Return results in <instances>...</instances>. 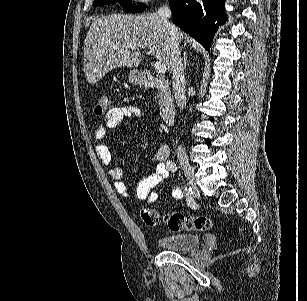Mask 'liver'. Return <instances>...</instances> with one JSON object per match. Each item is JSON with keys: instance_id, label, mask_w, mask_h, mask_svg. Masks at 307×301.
Returning <instances> with one entry per match:
<instances>
[{"instance_id": "obj_1", "label": "liver", "mask_w": 307, "mask_h": 301, "mask_svg": "<svg viewBox=\"0 0 307 301\" xmlns=\"http://www.w3.org/2000/svg\"><path fill=\"white\" fill-rule=\"evenodd\" d=\"M178 32L179 44L185 36L180 28ZM141 48H149L153 58L172 72L173 42L160 16L155 12L102 14L93 20L85 38L83 66L87 82H98L118 66H138L143 60Z\"/></svg>"}]
</instances>
